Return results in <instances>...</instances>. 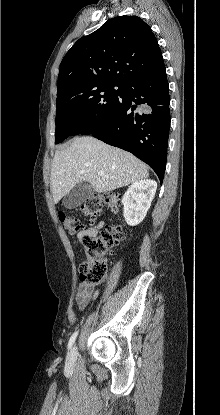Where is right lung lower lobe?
Wrapping results in <instances>:
<instances>
[{
    "label": "right lung lower lobe",
    "mask_w": 220,
    "mask_h": 415,
    "mask_svg": "<svg viewBox=\"0 0 220 415\" xmlns=\"http://www.w3.org/2000/svg\"><path fill=\"white\" fill-rule=\"evenodd\" d=\"M169 104L163 64L154 71L125 81L108 119L90 134L133 153L147 163L162 182L170 127Z\"/></svg>",
    "instance_id": "1"
}]
</instances>
